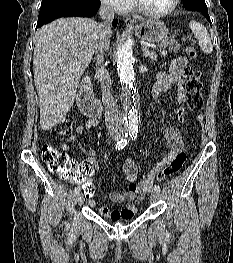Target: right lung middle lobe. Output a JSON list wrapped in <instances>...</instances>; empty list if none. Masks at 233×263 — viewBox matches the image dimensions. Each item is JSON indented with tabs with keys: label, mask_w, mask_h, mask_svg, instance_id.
I'll return each instance as SVG.
<instances>
[{
	"label": "right lung middle lobe",
	"mask_w": 233,
	"mask_h": 263,
	"mask_svg": "<svg viewBox=\"0 0 233 263\" xmlns=\"http://www.w3.org/2000/svg\"><path fill=\"white\" fill-rule=\"evenodd\" d=\"M83 0H42L38 23H44L73 12Z\"/></svg>",
	"instance_id": "dd1d6c3e"
}]
</instances>
